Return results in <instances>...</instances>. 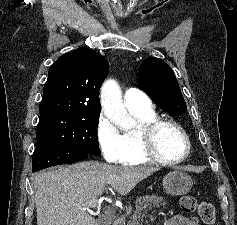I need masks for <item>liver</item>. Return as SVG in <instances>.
I'll use <instances>...</instances> for the list:
<instances>
[{"mask_svg":"<svg viewBox=\"0 0 237 225\" xmlns=\"http://www.w3.org/2000/svg\"><path fill=\"white\" fill-rule=\"evenodd\" d=\"M158 168L78 162L37 174L34 178L37 225H99L87 203L111 186L121 196Z\"/></svg>","mask_w":237,"mask_h":225,"instance_id":"obj_1","label":"liver"}]
</instances>
